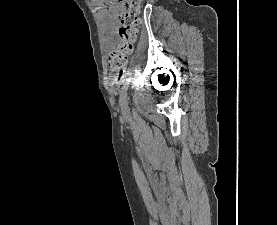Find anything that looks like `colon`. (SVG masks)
Wrapping results in <instances>:
<instances>
[{"instance_id": "colon-1", "label": "colon", "mask_w": 277, "mask_h": 225, "mask_svg": "<svg viewBox=\"0 0 277 225\" xmlns=\"http://www.w3.org/2000/svg\"><path fill=\"white\" fill-rule=\"evenodd\" d=\"M124 2L123 11L119 14V36L120 40L115 50L108 58L113 80H121L125 73L129 57L134 50V44L138 37L140 24L139 14L142 9V0H121Z\"/></svg>"}]
</instances>
